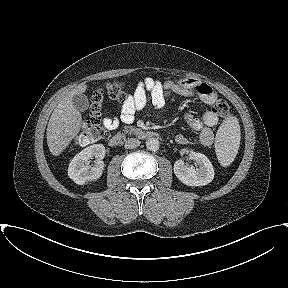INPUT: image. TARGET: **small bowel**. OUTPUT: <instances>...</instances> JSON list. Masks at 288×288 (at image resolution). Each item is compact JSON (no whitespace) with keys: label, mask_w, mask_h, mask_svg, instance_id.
<instances>
[{"label":"small bowel","mask_w":288,"mask_h":288,"mask_svg":"<svg viewBox=\"0 0 288 288\" xmlns=\"http://www.w3.org/2000/svg\"><path fill=\"white\" fill-rule=\"evenodd\" d=\"M172 94L184 97H199L205 104L213 106L217 101L214 90L206 83L193 78H179L177 80L158 81L147 77L139 81L135 91L125 102L119 104V116L113 119H105L108 129H116L120 123L130 124L134 121L135 115L146 107L162 108ZM185 120L190 128L199 132L198 142L204 146L213 143V127L219 122V115L211 108L203 113L201 118L185 113ZM176 142L187 145L192 141L183 134H178Z\"/></svg>","instance_id":"obj_1"}]
</instances>
